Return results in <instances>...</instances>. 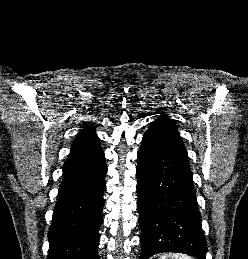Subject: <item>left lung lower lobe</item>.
Here are the masks:
<instances>
[{"instance_id":"obj_1","label":"left lung lower lobe","mask_w":248,"mask_h":259,"mask_svg":"<svg viewBox=\"0 0 248 259\" xmlns=\"http://www.w3.org/2000/svg\"><path fill=\"white\" fill-rule=\"evenodd\" d=\"M137 178L140 259L160 252L206 259L207 245L189 163L166 148L142 140Z\"/></svg>"}]
</instances>
